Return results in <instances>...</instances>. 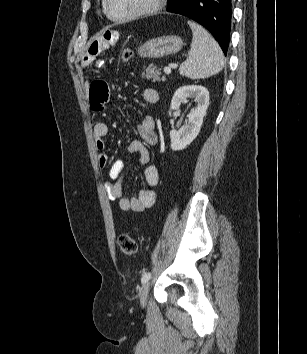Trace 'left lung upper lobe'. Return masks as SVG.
Here are the masks:
<instances>
[{
  "label": "left lung upper lobe",
  "mask_w": 307,
  "mask_h": 354,
  "mask_svg": "<svg viewBox=\"0 0 307 354\" xmlns=\"http://www.w3.org/2000/svg\"><path fill=\"white\" fill-rule=\"evenodd\" d=\"M171 1H172V0H168V2H167V3L169 4Z\"/></svg>",
  "instance_id": "1"
}]
</instances>
